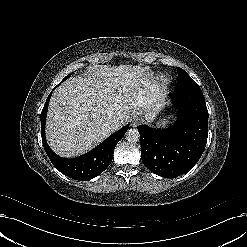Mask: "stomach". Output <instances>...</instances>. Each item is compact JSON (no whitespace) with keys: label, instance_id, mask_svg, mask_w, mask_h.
I'll use <instances>...</instances> for the list:
<instances>
[{"label":"stomach","instance_id":"obj_1","mask_svg":"<svg viewBox=\"0 0 247 247\" xmlns=\"http://www.w3.org/2000/svg\"><path fill=\"white\" fill-rule=\"evenodd\" d=\"M169 123V118H164L161 121L158 122V125L164 126Z\"/></svg>","mask_w":247,"mask_h":247}]
</instances>
